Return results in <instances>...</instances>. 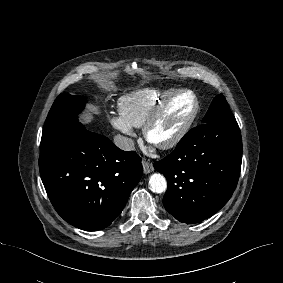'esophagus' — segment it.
I'll return each mask as SVG.
<instances>
[{
    "label": "esophagus",
    "instance_id": "obj_1",
    "mask_svg": "<svg viewBox=\"0 0 283 283\" xmlns=\"http://www.w3.org/2000/svg\"><path fill=\"white\" fill-rule=\"evenodd\" d=\"M142 166L145 174H149L154 169L153 164L147 160H142Z\"/></svg>",
    "mask_w": 283,
    "mask_h": 283
}]
</instances>
